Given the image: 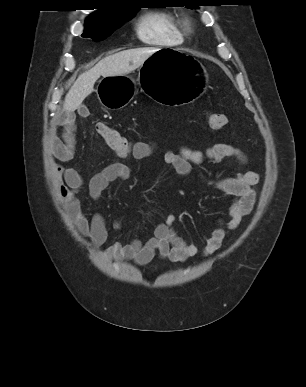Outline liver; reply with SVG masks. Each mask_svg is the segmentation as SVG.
Instances as JSON below:
<instances>
[{"label":"liver","instance_id":"obj_1","mask_svg":"<svg viewBox=\"0 0 306 387\" xmlns=\"http://www.w3.org/2000/svg\"><path fill=\"white\" fill-rule=\"evenodd\" d=\"M159 49L138 48L124 50L100 60L93 68L82 73L66 94L63 109L73 112L83 100L94 91V84L100 76H122L140 67L144 61Z\"/></svg>","mask_w":306,"mask_h":387}]
</instances>
